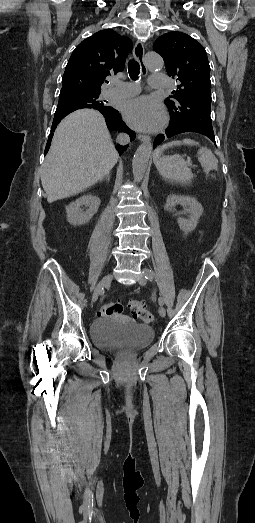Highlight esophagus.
<instances>
[{
    "label": "esophagus",
    "mask_w": 255,
    "mask_h": 523,
    "mask_svg": "<svg viewBox=\"0 0 255 523\" xmlns=\"http://www.w3.org/2000/svg\"><path fill=\"white\" fill-rule=\"evenodd\" d=\"M134 57L135 60L139 63L141 70L145 71L146 66L144 63V44L141 41H137L134 46ZM137 139L142 142H148L150 137L148 135L139 134Z\"/></svg>",
    "instance_id": "34e87169"
}]
</instances>
